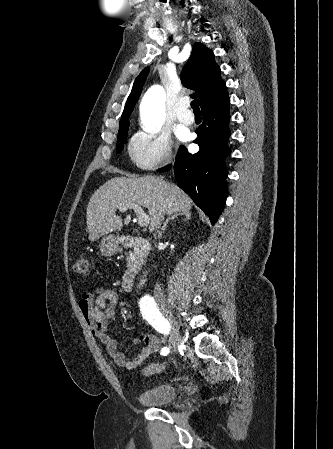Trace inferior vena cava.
I'll return each instance as SVG.
<instances>
[{
  "mask_svg": "<svg viewBox=\"0 0 333 449\" xmlns=\"http://www.w3.org/2000/svg\"><path fill=\"white\" fill-rule=\"evenodd\" d=\"M163 219V215H159V218L156 222V228H159L160 222ZM156 237V234L154 235ZM155 299L160 302V303H164L165 302V296L163 294V290L160 288V286H157L155 288Z\"/></svg>",
  "mask_w": 333,
  "mask_h": 449,
  "instance_id": "1",
  "label": "inferior vena cava"
}]
</instances>
